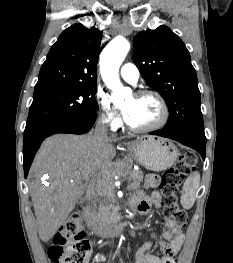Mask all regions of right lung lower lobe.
I'll return each instance as SVG.
<instances>
[{
    "label": "right lung lower lobe",
    "mask_w": 233,
    "mask_h": 263,
    "mask_svg": "<svg viewBox=\"0 0 233 263\" xmlns=\"http://www.w3.org/2000/svg\"><path fill=\"white\" fill-rule=\"evenodd\" d=\"M96 120V113L79 118L59 119L24 132L23 167L25 178L42 141L56 133L83 134L89 131Z\"/></svg>",
    "instance_id": "right-lung-lower-lobe-1"
}]
</instances>
